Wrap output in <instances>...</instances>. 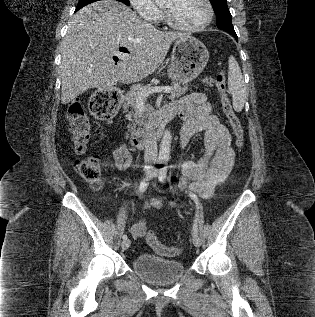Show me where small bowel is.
<instances>
[{
    "instance_id": "c3829d8e",
    "label": "small bowel",
    "mask_w": 315,
    "mask_h": 317,
    "mask_svg": "<svg viewBox=\"0 0 315 317\" xmlns=\"http://www.w3.org/2000/svg\"><path fill=\"white\" fill-rule=\"evenodd\" d=\"M174 110L184 121L180 136V146L183 148L189 138L196 133L205 132L204 151L196 160H187L180 165L182 179L180 189L198 194L202 198H209L215 189L222 184L233 169L235 151L232 138L227 127L212 110L205 94L194 92L183 96L167 107ZM115 167L124 171L131 166L132 155L126 144L121 142L111 152ZM163 200L155 197L143 205V210L161 209ZM169 206L176 203L170 201ZM146 222L139 218L130 227V234L135 239L145 235Z\"/></svg>"
}]
</instances>
